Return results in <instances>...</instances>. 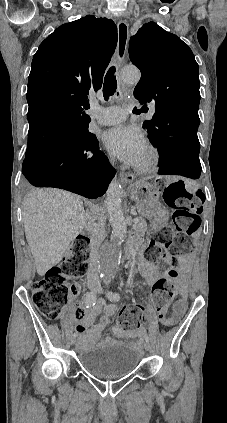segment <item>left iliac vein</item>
I'll use <instances>...</instances> for the list:
<instances>
[{"label":"left iliac vein","instance_id":"1","mask_svg":"<svg viewBox=\"0 0 227 423\" xmlns=\"http://www.w3.org/2000/svg\"><path fill=\"white\" fill-rule=\"evenodd\" d=\"M97 292H98V293H102V290H101V289H99V288H97ZM144 346H145V349H146L147 351H149V350L151 349V345H150V343H148V342H146Z\"/></svg>","mask_w":227,"mask_h":423}]
</instances>
